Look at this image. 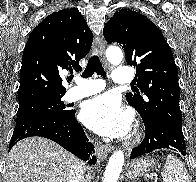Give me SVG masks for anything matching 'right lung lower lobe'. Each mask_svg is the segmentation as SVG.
I'll return each mask as SVG.
<instances>
[{
	"label": "right lung lower lobe",
	"mask_w": 196,
	"mask_h": 182,
	"mask_svg": "<svg viewBox=\"0 0 196 182\" xmlns=\"http://www.w3.org/2000/svg\"><path fill=\"white\" fill-rule=\"evenodd\" d=\"M31 136L51 139L83 161H88V164L96 163V157L91 156L94 146L75 119V110L66 118L42 116L17 123L9 149L19 140Z\"/></svg>",
	"instance_id": "98d812e1"
}]
</instances>
